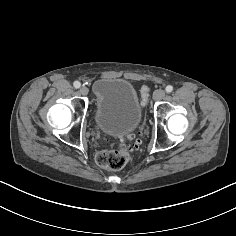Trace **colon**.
<instances>
[{
    "instance_id": "5ec220e1",
    "label": "colon",
    "mask_w": 236,
    "mask_h": 236,
    "mask_svg": "<svg viewBox=\"0 0 236 236\" xmlns=\"http://www.w3.org/2000/svg\"><path fill=\"white\" fill-rule=\"evenodd\" d=\"M141 104L144 106L148 101L149 89L142 86L140 89ZM130 161V153L124 144L117 145L114 149L101 151L95 157L98 166L109 169L119 170L124 168Z\"/></svg>"
}]
</instances>
